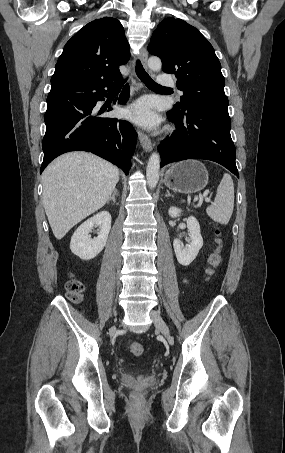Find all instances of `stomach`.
Here are the masks:
<instances>
[{"label":"stomach","instance_id":"0dacf381","mask_svg":"<svg viewBox=\"0 0 285 453\" xmlns=\"http://www.w3.org/2000/svg\"><path fill=\"white\" fill-rule=\"evenodd\" d=\"M208 179V171L200 161L185 160L166 171L164 183L174 192L192 194L203 190Z\"/></svg>","mask_w":285,"mask_h":453}]
</instances>
